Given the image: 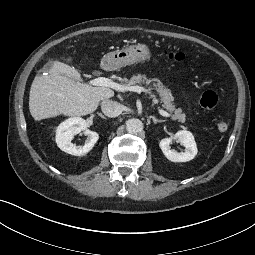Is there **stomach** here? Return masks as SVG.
Returning a JSON list of instances; mask_svg holds the SVG:
<instances>
[{"label":"stomach","instance_id":"stomach-1","mask_svg":"<svg viewBox=\"0 0 255 255\" xmlns=\"http://www.w3.org/2000/svg\"><path fill=\"white\" fill-rule=\"evenodd\" d=\"M150 57L151 53L148 46L143 43H136L121 50L107 53L102 61L111 69H120L127 65L149 60Z\"/></svg>","mask_w":255,"mask_h":255}]
</instances>
